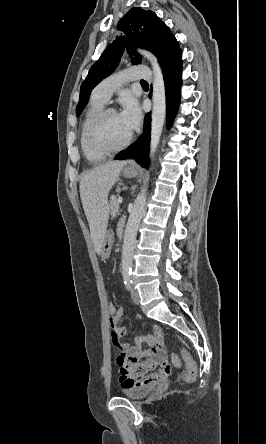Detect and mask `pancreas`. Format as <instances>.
<instances>
[{
  "instance_id": "cf45deb5",
  "label": "pancreas",
  "mask_w": 266,
  "mask_h": 444,
  "mask_svg": "<svg viewBox=\"0 0 266 444\" xmlns=\"http://www.w3.org/2000/svg\"><path fill=\"white\" fill-rule=\"evenodd\" d=\"M110 212L112 217L119 214V202L115 195H112L110 198Z\"/></svg>"
}]
</instances>
